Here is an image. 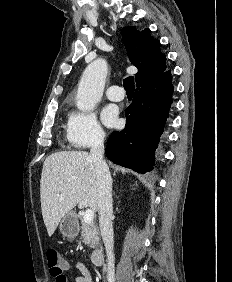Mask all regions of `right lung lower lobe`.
Segmentation results:
<instances>
[{
	"label": "right lung lower lobe",
	"instance_id": "1",
	"mask_svg": "<svg viewBox=\"0 0 232 282\" xmlns=\"http://www.w3.org/2000/svg\"><path fill=\"white\" fill-rule=\"evenodd\" d=\"M136 92L126 109V126L111 133L106 155L113 163L139 173L153 169L155 150L164 132L172 104L170 70L136 82Z\"/></svg>",
	"mask_w": 232,
	"mask_h": 282
}]
</instances>
